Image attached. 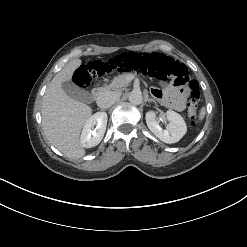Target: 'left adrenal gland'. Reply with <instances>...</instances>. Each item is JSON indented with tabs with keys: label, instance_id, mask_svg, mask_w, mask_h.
Listing matches in <instances>:
<instances>
[{
	"label": "left adrenal gland",
	"instance_id": "obj_1",
	"mask_svg": "<svg viewBox=\"0 0 247 247\" xmlns=\"http://www.w3.org/2000/svg\"><path fill=\"white\" fill-rule=\"evenodd\" d=\"M147 101L148 102H154V104H156V101L154 99H152V98L147 97Z\"/></svg>",
	"mask_w": 247,
	"mask_h": 247
}]
</instances>
